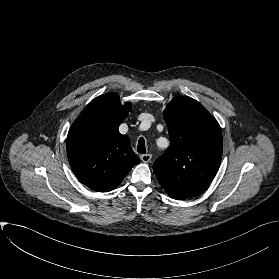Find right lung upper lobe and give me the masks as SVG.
Segmentation results:
<instances>
[{"label": "right lung upper lobe", "mask_w": 279, "mask_h": 279, "mask_svg": "<svg viewBox=\"0 0 279 279\" xmlns=\"http://www.w3.org/2000/svg\"><path fill=\"white\" fill-rule=\"evenodd\" d=\"M121 105L116 93L94 99L72 124L67 136V155L76 177L87 187L108 192L116 188L140 162L120 123L131 110Z\"/></svg>", "instance_id": "obj_1"}]
</instances>
